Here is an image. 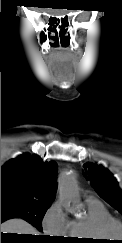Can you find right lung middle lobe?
Returning <instances> with one entry per match:
<instances>
[{
    "label": "right lung middle lobe",
    "mask_w": 122,
    "mask_h": 243,
    "mask_svg": "<svg viewBox=\"0 0 122 243\" xmlns=\"http://www.w3.org/2000/svg\"><path fill=\"white\" fill-rule=\"evenodd\" d=\"M50 205L51 202L18 196H1V219L21 218L42 231V219Z\"/></svg>",
    "instance_id": "dd1d6c3e"
}]
</instances>
